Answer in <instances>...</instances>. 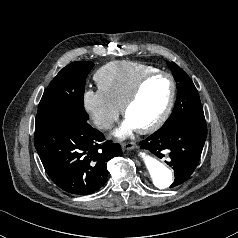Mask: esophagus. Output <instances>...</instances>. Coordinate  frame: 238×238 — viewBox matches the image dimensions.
<instances>
[{
    "instance_id": "obj_1",
    "label": "esophagus",
    "mask_w": 238,
    "mask_h": 238,
    "mask_svg": "<svg viewBox=\"0 0 238 238\" xmlns=\"http://www.w3.org/2000/svg\"><path fill=\"white\" fill-rule=\"evenodd\" d=\"M123 149L132 150L135 148V144L132 142L122 143Z\"/></svg>"
}]
</instances>
